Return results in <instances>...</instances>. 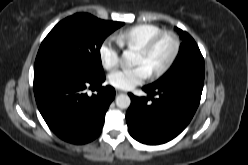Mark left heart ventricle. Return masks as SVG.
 Masks as SVG:
<instances>
[{
	"label": "left heart ventricle",
	"instance_id": "1",
	"mask_svg": "<svg viewBox=\"0 0 248 165\" xmlns=\"http://www.w3.org/2000/svg\"><path fill=\"white\" fill-rule=\"evenodd\" d=\"M172 43L169 39L162 40L149 55L138 53L135 65H145L150 73L159 68L169 57Z\"/></svg>",
	"mask_w": 248,
	"mask_h": 165
}]
</instances>
